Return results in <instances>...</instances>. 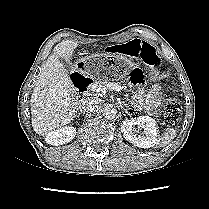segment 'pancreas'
I'll return each mask as SVG.
<instances>
[{
	"label": "pancreas",
	"instance_id": "1",
	"mask_svg": "<svg viewBox=\"0 0 209 209\" xmlns=\"http://www.w3.org/2000/svg\"><path fill=\"white\" fill-rule=\"evenodd\" d=\"M106 83H108L107 81H98V82H95V83H93V85H92V90L93 91H95L97 88H99V87H101V86H104ZM116 84H118V85H120L121 86V84L120 83H116ZM122 87L126 90V86L125 85H122Z\"/></svg>",
	"mask_w": 209,
	"mask_h": 209
}]
</instances>
